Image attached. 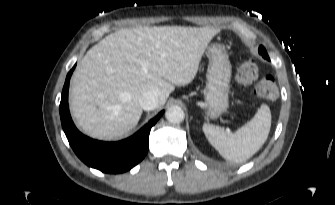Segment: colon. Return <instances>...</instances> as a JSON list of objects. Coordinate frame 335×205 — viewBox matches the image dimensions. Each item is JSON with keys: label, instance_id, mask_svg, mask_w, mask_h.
I'll list each match as a JSON object with an SVG mask.
<instances>
[{"label": "colon", "instance_id": "1", "mask_svg": "<svg viewBox=\"0 0 335 205\" xmlns=\"http://www.w3.org/2000/svg\"><path fill=\"white\" fill-rule=\"evenodd\" d=\"M258 76V64L253 58H247L238 67L236 79L241 84H251ZM256 96L265 99H273L277 96V86L273 78L264 77L254 86Z\"/></svg>", "mask_w": 335, "mask_h": 205}]
</instances>
